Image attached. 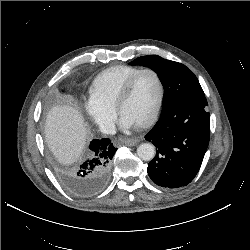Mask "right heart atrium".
I'll return each mask as SVG.
<instances>
[{
  "label": "right heart atrium",
  "mask_w": 250,
  "mask_h": 250,
  "mask_svg": "<svg viewBox=\"0 0 250 250\" xmlns=\"http://www.w3.org/2000/svg\"><path fill=\"white\" fill-rule=\"evenodd\" d=\"M84 113L88 119L103 131H109L114 122V110L106 108L89 98L84 104Z\"/></svg>",
  "instance_id": "1"
}]
</instances>
